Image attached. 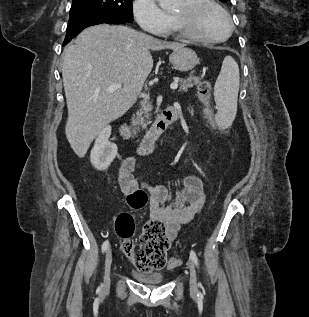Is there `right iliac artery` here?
Returning a JSON list of instances; mask_svg holds the SVG:
<instances>
[{
  "instance_id": "obj_1",
  "label": "right iliac artery",
  "mask_w": 309,
  "mask_h": 317,
  "mask_svg": "<svg viewBox=\"0 0 309 317\" xmlns=\"http://www.w3.org/2000/svg\"><path fill=\"white\" fill-rule=\"evenodd\" d=\"M108 247H109V241L106 240V241H104V243L102 244V252H103V253L106 252L107 249H108Z\"/></svg>"
}]
</instances>
